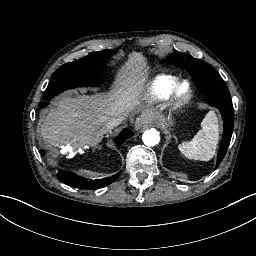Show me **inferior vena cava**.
Wrapping results in <instances>:
<instances>
[{"label":"inferior vena cava","instance_id":"obj_1","mask_svg":"<svg viewBox=\"0 0 256 256\" xmlns=\"http://www.w3.org/2000/svg\"><path fill=\"white\" fill-rule=\"evenodd\" d=\"M124 120H125V116H118V117L112 118L107 122L106 127L108 129H113L114 127L120 125Z\"/></svg>","mask_w":256,"mask_h":256}]
</instances>
